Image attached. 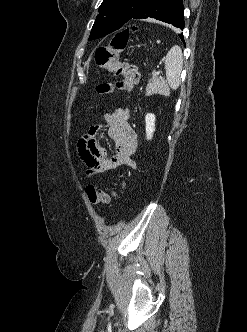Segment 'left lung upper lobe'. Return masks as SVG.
I'll return each mask as SVG.
<instances>
[{"instance_id": "left-lung-upper-lobe-1", "label": "left lung upper lobe", "mask_w": 247, "mask_h": 332, "mask_svg": "<svg viewBox=\"0 0 247 332\" xmlns=\"http://www.w3.org/2000/svg\"><path fill=\"white\" fill-rule=\"evenodd\" d=\"M147 0H103L89 40L103 37L123 28Z\"/></svg>"}]
</instances>
